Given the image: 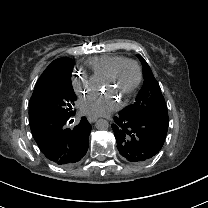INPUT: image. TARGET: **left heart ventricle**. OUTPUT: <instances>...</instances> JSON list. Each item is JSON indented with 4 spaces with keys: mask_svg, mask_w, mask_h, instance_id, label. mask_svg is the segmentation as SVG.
<instances>
[{
    "mask_svg": "<svg viewBox=\"0 0 208 208\" xmlns=\"http://www.w3.org/2000/svg\"><path fill=\"white\" fill-rule=\"evenodd\" d=\"M135 74L136 72L134 66L129 63H125L121 65L118 69L114 81L108 85H112L115 88V90L120 94V96L124 97L134 83ZM98 87H100L99 81L92 93V98L102 100L98 98L96 94ZM105 101L109 102V100Z\"/></svg>",
    "mask_w": 208,
    "mask_h": 208,
    "instance_id": "obj_1",
    "label": "left heart ventricle"
}]
</instances>
